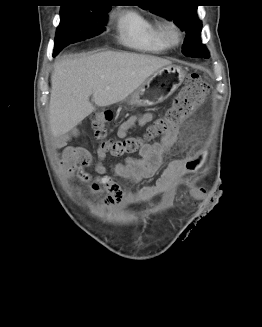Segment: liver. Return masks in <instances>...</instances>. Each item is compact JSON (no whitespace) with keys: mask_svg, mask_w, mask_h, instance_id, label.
Listing matches in <instances>:
<instances>
[{"mask_svg":"<svg viewBox=\"0 0 262 327\" xmlns=\"http://www.w3.org/2000/svg\"><path fill=\"white\" fill-rule=\"evenodd\" d=\"M171 61L135 53L105 51L56 62L51 76L49 126L62 136L90 115L95 107L124 100L147 78Z\"/></svg>","mask_w":262,"mask_h":327,"instance_id":"liver-1","label":"liver"}]
</instances>
